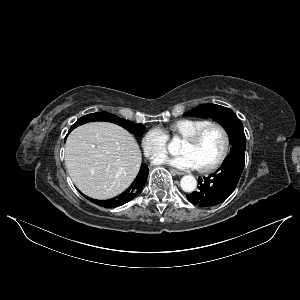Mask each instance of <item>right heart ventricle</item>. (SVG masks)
<instances>
[{
	"instance_id": "1",
	"label": "right heart ventricle",
	"mask_w": 300,
	"mask_h": 300,
	"mask_svg": "<svg viewBox=\"0 0 300 300\" xmlns=\"http://www.w3.org/2000/svg\"><path fill=\"white\" fill-rule=\"evenodd\" d=\"M209 122L206 119L182 118L170 124L168 130L172 136L184 139Z\"/></svg>"
}]
</instances>
